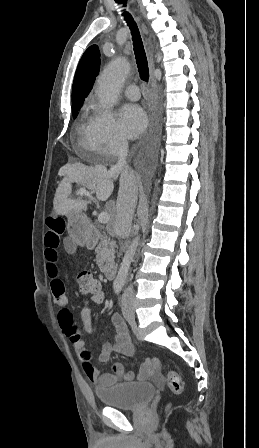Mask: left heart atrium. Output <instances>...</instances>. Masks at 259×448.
Segmentation results:
<instances>
[{
	"label": "left heart atrium",
	"instance_id": "1",
	"mask_svg": "<svg viewBox=\"0 0 259 448\" xmlns=\"http://www.w3.org/2000/svg\"><path fill=\"white\" fill-rule=\"evenodd\" d=\"M119 123L125 136L136 138L146 128L147 118L139 105L127 104L120 111Z\"/></svg>",
	"mask_w": 259,
	"mask_h": 448
}]
</instances>
